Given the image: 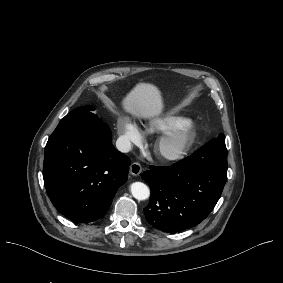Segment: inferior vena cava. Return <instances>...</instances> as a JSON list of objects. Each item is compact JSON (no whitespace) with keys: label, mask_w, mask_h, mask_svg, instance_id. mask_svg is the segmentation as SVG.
I'll return each instance as SVG.
<instances>
[{"label":"inferior vena cava","mask_w":283,"mask_h":283,"mask_svg":"<svg viewBox=\"0 0 283 283\" xmlns=\"http://www.w3.org/2000/svg\"><path fill=\"white\" fill-rule=\"evenodd\" d=\"M116 147L120 152L127 153L131 150V143L124 137H120L116 141Z\"/></svg>","instance_id":"inferior-vena-cava-1"}]
</instances>
